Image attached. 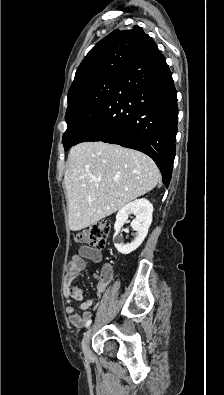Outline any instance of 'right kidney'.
<instances>
[{
  "mask_svg": "<svg viewBox=\"0 0 224 395\" xmlns=\"http://www.w3.org/2000/svg\"><path fill=\"white\" fill-rule=\"evenodd\" d=\"M152 212L153 206L145 198L130 202L119 210L114 224L115 234L113 236L114 246L118 252L125 255L130 254L142 244L152 222ZM130 214L136 216L131 222L132 229L136 231V237L131 243L124 244L120 230Z\"/></svg>",
  "mask_w": 224,
  "mask_h": 395,
  "instance_id": "1",
  "label": "right kidney"
}]
</instances>
